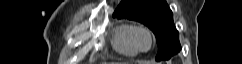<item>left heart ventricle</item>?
Wrapping results in <instances>:
<instances>
[{
  "instance_id": "left-heart-ventricle-1",
  "label": "left heart ventricle",
  "mask_w": 242,
  "mask_h": 64,
  "mask_svg": "<svg viewBox=\"0 0 242 64\" xmlns=\"http://www.w3.org/2000/svg\"><path fill=\"white\" fill-rule=\"evenodd\" d=\"M138 43L141 47L146 48L149 44V40L146 35L141 34L138 36Z\"/></svg>"
}]
</instances>
